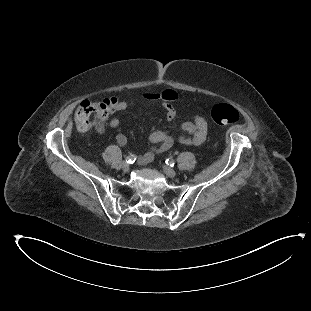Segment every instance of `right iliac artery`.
Listing matches in <instances>:
<instances>
[{
	"mask_svg": "<svg viewBox=\"0 0 311 311\" xmlns=\"http://www.w3.org/2000/svg\"><path fill=\"white\" fill-rule=\"evenodd\" d=\"M136 155H134V154H130V155H128L127 157H126V162L127 163H134L135 162V160H136Z\"/></svg>",
	"mask_w": 311,
	"mask_h": 311,
	"instance_id": "1",
	"label": "right iliac artery"
}]
</instances>
